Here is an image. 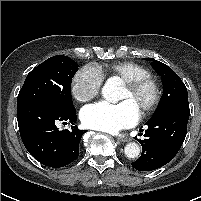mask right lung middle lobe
I'll return each instance as SVG.
<instances>
[{"label": "right lung middle lobe", "mask_w": 201, "mask_h": 201, "mask_svg": "<svg viewBox=\"0 0 201 201\" xmlns=\"http://www.w3.org/2000/svg\"><path fill=\"white\" fill-rule=\"evenodd\" d=\"M79 65L68 56H53L26 77L17 98V108L32 101H47L63 110L75 109L71 82Z\"/></svg>", "instance_id": "dd1d6c3e"}]
</instances>
